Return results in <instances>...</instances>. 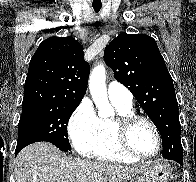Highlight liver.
Listing matches in <instances>:
<instances>
[{
  "mask_svg": "<svg viewBox=\"0 0 196 182\" xmlns=\"http://www.w3.org/2000/svg\"><path fill=\"white\" fill-rule=\"evenodd\" d=\"M138 170L68 157L45 142L28 145L15 160L16 182H125Z\"/></svg>",
  "mask_w": 196,
  "mask_h": 182,
  "instance_id": "obj_1",
  "label": "liver"
}]
</instances>
